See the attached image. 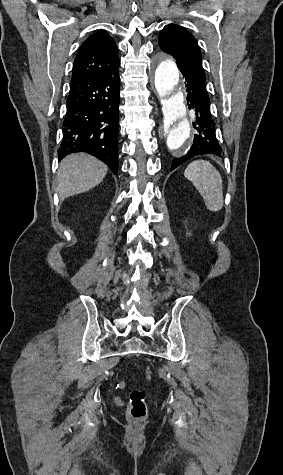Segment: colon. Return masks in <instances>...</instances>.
Masks as SVG:
<instances>
[{
	"label": "colon",
	"mask_w": 283,
	"mask_h": 475,
	"mask_svg": "<svg viewBox=\"0 0 283 475\" xmlns=\"http://www.w3.org/2000/svg\"><path fill=\"white\" fill-rule=\"evenodd\" d=\"M154 370L147 367L144 370L143 379L145 381L151 380ZM148 409L145 400V390L141 387L134 388L130 392L128 403V416L136 421L143 420L147 417Z\"/></svg>",
	"instance_id": "obj_1"
}]
</instances>
